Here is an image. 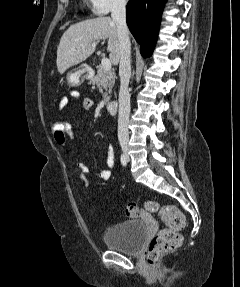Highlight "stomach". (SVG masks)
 Returning a JSON list of instances; mask_svg holds the SVG:
<instances>
[{
    "mask_svg": "<svg viewBox=\"0 0 240 287\" xmlns=\"http://www.w3.org/2000/svg\"><path fill=\"white\" fill-rule=\"evenodd\" d=\"M89 73L90 68L82 65L67 74V81L71 86H78L89 77Z\"/></svg>",
    "mask_w": 240,
    "mask_h": 287,
    "instance_id": "stomach-1",
    "label": "stomach"
}]
</instances>
